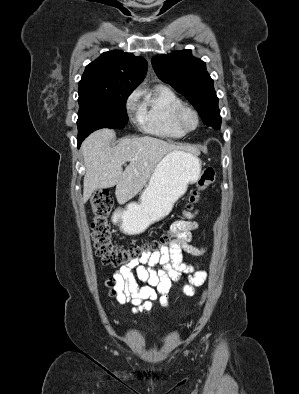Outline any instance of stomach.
<instances>
[{
    "mask_svg": "<svg viewBox=\"0 0 299 394\" xmlns=\"http://www.w3.org/2000/svg\"><path fill=\"white\" fill-rule=\"evenodd\" d=\"M200 172L201 161L196 154L184 150L169 152L157 165L139 201L128 204L121 212V231L140 234L166 217L188 185L198 180Z\"/></svg>",
    "mask_w": 299,
    "mask_h": 394,
    "instance_id": "obj_1",
    "label": "stomach"
}]
</instances>
